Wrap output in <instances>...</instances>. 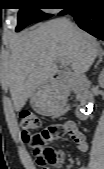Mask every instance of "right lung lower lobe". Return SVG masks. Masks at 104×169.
Wrapping results in <instances>:
<instances>
[{
  "label": "right lung lower lobe",
  "mask_w": 104,
  "mask_h": 169,
  "mask_svg": "<svg viewBox=\"0 0 104 169\" xmlns=\"http://www.w3.org/2000/svg\"><path fill=\"white\" fill-rule=\"evenodd\" d=\"M71 14L80 28L104 40V0H77L59 13Z\"/></svg>",
  "instance_id": "right-lung-lower-lobe-1"
}]
</instances>
